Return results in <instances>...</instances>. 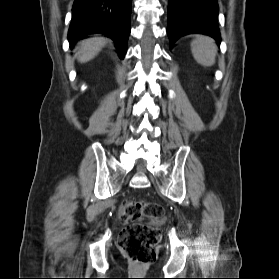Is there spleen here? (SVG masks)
Returning <instances> with one entry per match:
<instances>
[{
	"label": "spleen",
	"mask_w": 279,
	"mask_h": 279,
	"mask_svg": "<svg viewBox=\"0 0 279 279\" xmlns=\"http://www.w3.org/2000/svg\"><path fill=\"white\" fill-rule=\"evenodd\" d=\"M191 51L194 59L201 65L209 67L215 64L217 55V45L214 39L198 35L191 42Z\"/></svg>",
	"instance_id": "3e777b00"
}]
</instances>
